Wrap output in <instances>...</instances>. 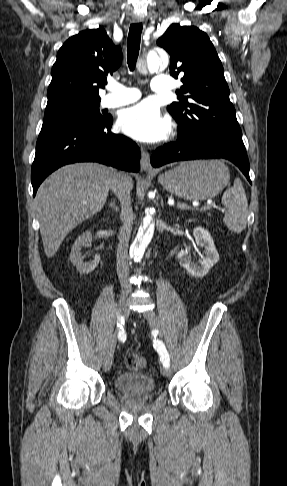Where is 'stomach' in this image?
I'll return each mask as SVG.
<instances>
[{
    "label": "stomach",
    "instance_id": "0dacf381",
    "mask_svg": "<svg viewBox=\"0 0 287 486\" xmlns=\"http://www.w3.org/2000/svg\"><path fill=\"white\" fill-rule=\"evenodd\" d=\"M227 166L218 160H195L180 163L158 176L168 192L186 200H206L215 197L228 184Z\"/></svg>",
    "mask_w": 287,
    "mask_h": 486
}]
</instances>
